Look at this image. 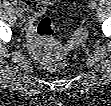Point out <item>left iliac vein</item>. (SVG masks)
Wrapping results in <instances>:
<instances>
[{
    "label": "left iliac vein",
    "mask_w": 111,
    "mask_h": 106,
    "mask_svg": "<svg viewBox=\"0 0 111 106\" xmlns=\"http://www.w3.org/2000/svg\"><path fill=\"white\" fill-rule=\"evenodd\" d=\"M88 7H89L90 9H94V8L96 7V2H95V1H91V2L89 3Z\"/></svg>",
    "instance_id": "left-iliac-vein-1"
}]
</instances>
